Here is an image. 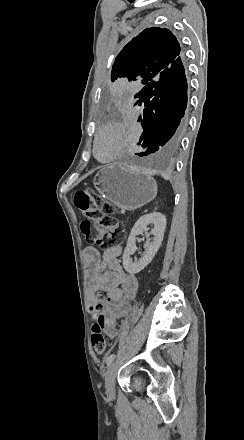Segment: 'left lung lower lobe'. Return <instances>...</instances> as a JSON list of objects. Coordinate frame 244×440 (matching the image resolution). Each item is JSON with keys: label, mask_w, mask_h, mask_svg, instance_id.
<instances>
[{"label": "left lung lower lobe", "mask_w": 244, "mask_h": 440, "mask_svg": "<svg viewBox=\"0 0 244 440\" xmlns=\"http://www.w3.org/2000/svg\"><path fill=\"white\" fill-rule=\"evenodd\" d=\"M179 62L147 83L135 96L141 106L138 120L143 132L138 145L146 148L138 156L169 153L180 144L188 126L187 81L181 55Z\"/></svg>", "instance_id": "left-lung-lower-lobe-1"}]
</instances>
